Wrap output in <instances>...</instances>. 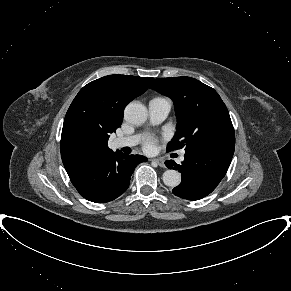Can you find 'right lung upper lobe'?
<instances>
[{"mask_svg":"<svg viewBox=\"0 0 291 291\" xmlns=\"http://www.w3.org/2000/svg\"><path fill=\"white\" fill-rule=\"evenodd\" d=\"M153 78L108 75L85 85L71 103L63 124L60 151L73 185L113 151L110 134L123 120V110L143 94Z\"/></svg>","mask_w":291,"mask_h":291,"instance_id":"1","label":"right lung upper lobe"}]
</instances>
